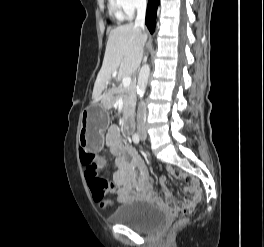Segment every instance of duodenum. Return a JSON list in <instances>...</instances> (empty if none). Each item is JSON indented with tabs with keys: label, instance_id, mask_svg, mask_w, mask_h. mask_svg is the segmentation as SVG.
<instances>
[{
	"label": "duodenum",
	"instance_id": "410a0bca",
	"mask_svg": "<svg viewBox=\"0 0 264 247\" xmlns=\"http://www.w3.org/2000/svg\"><path fill=\"white\" fill-rule=\"evenodd\" d=\"M125 125L129 131H131L134 127V120L132 115H129L125 120Z\"/></svg>",
	"mask_w": 264,
	"mask_h": 247
}]
</instances>
